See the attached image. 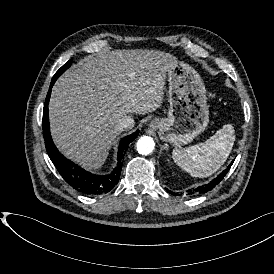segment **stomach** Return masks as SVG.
<instances>
[{
	"instance_id": "0dacf381",
	"label": "stomach",
	"mask_w": 274,
	"mask_h": 274,
	"mask_svg": "<svg viewBox=\"0 0 274 274\" xmlns=\"http://www.w3.org/2000/svg\"><path fill=\"white\" fill-rule=\"evenodd\" d=\"M168 80V116L154 118L148 125L157 131L160 140L180 148L207 130V97L201 77L187 64H174L169 69Z\"/></svg>"
}]
</instances>
